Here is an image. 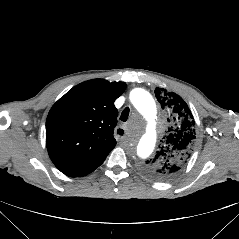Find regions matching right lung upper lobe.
Segmentation results:
<instances>
[{"instance_id":"cb5924a9","label":"right lung upper lobe","mask_w":239,"mask_h":239,"mask_svg":"<svg viewBox=\"0 0 239 239\" xmlns=\"http://www.w3.org/2000/svg\"><path fill=\"white\" fill-rule=\"evenodd\" d=\"M124 82L85 81L61 97L46 120V146L54 165L70 177L84 176L100 166L115 147L118 111L114 101Z\"/></svg>"}]
</instances>
